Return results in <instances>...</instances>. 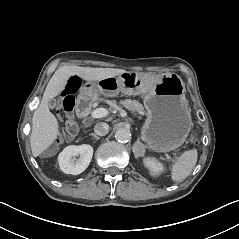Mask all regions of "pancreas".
I'll return each instance as SVG.
<instances>
[{
	"label": "pancreas",
	"mask_w": 239,
	"mask_h": 239,
	"mask_svg": "<svg viewBox=\"0 0 239 239\" xmlns=\"http://www.w3.org/2000/svg\"><path fill=\"white\" fill-rule=\"evenodd\" d=\"M119 104L130 111H137L140 115L145 114L143 105L139 103L137 100L125 99L121 100ZM113 108L116 109L117 105L115 104Z\"/></svg>",
	"instance_id": "cf45deb5"
}]
</instances>
